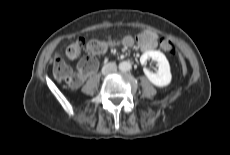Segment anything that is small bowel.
Masks as SVG:
<instances>
[{"label":"small bowel","mask_w":230,"mask_h":155,"mask_svg":"<svg viewBox=\"0 0 230 155\" xmlns=\"http://www.w3.org/2000/svg\"><path fill=\"white\" fill-rule=\"evenodd\" d=\"M140 37L143 38V41L140 42V47L144 51H151L157 47V34L150 30H143L140 33ZM116 44V40L110 42V45L113 46ZM81 72V71H80ZM82 73V72H81Z\"/></svg>","instance_id":"small-bowel-1"}]
</instances>
